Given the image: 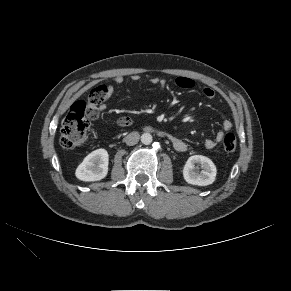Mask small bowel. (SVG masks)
<instances>
[{
	"instance_id": "obj_1",
	"label": "small bowel",
	"mask_w": 291,
	"mask_h": 291,
	"mask_svg": "<svg viewBox=\"0 0 291 291\" xmlns=\"http://www.w3.org/2000/svg\"><path fill=\"white\" fill-rule=\"evenodd\" d=\"M131 79L133 81H138L140 79V76L133 75ZM123 81H124L123 77L120 75H117L113 77L109 82L103 83L95 88V89L97 88L101 89V98L98 103L91 105L90 107V116L92 119H96L100 112L105 111L107 109V101L111 97L113 93V89H114L113 84H121ZM150 82L153 84H158L161 87H164L165 85V81L159 79L158 77H152L150 79ZM194 84H195L194 81L188 77H178L176 79V85L183 89H191L194 87ZM202 93L208 99H212L215 96V91L210 87H204L202 89ZM119 125L124 126L121 123V119L119 120ZM231 127H232V124L229 120H225L223 122V128L225 131H229ZM223 136H224L223 131L218 132L214 139L205 140L204 142L205 147L207 149L215 148L216 145L223 140ZM171 142L175 150H177L178 152H185L188 148L187 143L181 138L171 136Z\"/></svg>"
}]
</instances>
